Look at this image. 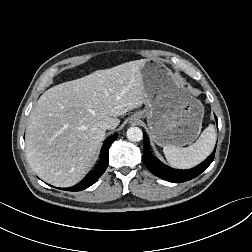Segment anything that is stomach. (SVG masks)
<instances>
[{
    "label": "stomach",
    "instance_id": "obj_1",
    "mask_svg": "<svg viewBox=\"0 0 252 252\" xmlns=\"http://www.w3.org/2000/svg\"><path fill=\"white\" fill-rule=\"evenodd\" d=\"M145 109L137 112L147 118L152 138L159 146H183L199 136L204 107L177 81L162 62L147 60L141 68Z\"/></svg>",
    "mask_w": 252,
    "mask_h": 252
}]
</instances>
